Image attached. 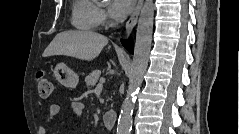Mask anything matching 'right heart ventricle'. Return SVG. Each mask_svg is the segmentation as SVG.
Wrapping results in <instances>:
<instances>
[{
	"instance_id": "1",
	"label": "right heart ventricle",
	"mask_w": 239,
	"mask_h": 134,
	"mask_svg": "<svg viewBox=\"0 0 239 134\" xmlns=\"http://www.w3.org/2000/svg\"><path fill=\"white\" fill-rule=\"evenodd\" d=\"M98 5L92 0H76L72 6L71 23L84 31L95 29L98 22Z\"/></svg>"
}]
</instances>
